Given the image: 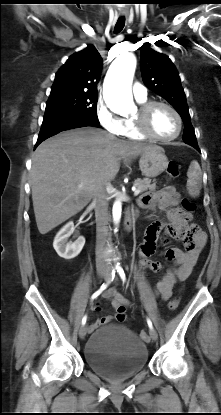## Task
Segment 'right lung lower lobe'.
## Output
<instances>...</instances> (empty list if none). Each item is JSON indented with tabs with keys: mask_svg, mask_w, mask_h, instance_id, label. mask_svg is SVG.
<instances>
[{
	"mask_svg": "<svg viewBox=\"0 0 221 415\" xmlns=\"http://www.w3.org/2000/svg\"><path fill=\"white\" fill-rule=\"evenodd\" d=\"M93 126L99 127V121L83 115L65 113H45L35 148L47 138L69 129Z\"/></svg>",
	"mask_w": 221,
	"mask_h": 415,
	"instance_id": "obj_1",
	"label": "right lung lower lobe"
}]
</instances>
